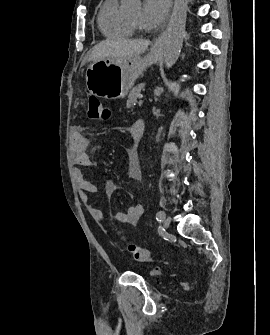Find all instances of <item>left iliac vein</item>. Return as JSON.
Instances as JSON below:
<instances>
[{"label":"left iliac vein","mask_w":270,"mask_h":335,"mask_svg":"<svg viewBox=\"0 0 270 335\" xmlns=\"http://www.w3.org/2000/svg\"><path fill=\"white\" fill-rule=\"evenodd\" d=\"M170 222H171V218L170 217H166L164 219L163 226H164L165 229H167L169 227Z\"/></svg>","instance_id":"1"}]
</instances>
